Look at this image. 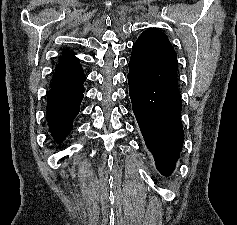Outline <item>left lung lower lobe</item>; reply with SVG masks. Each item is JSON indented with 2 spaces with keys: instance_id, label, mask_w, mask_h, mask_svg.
<instances>
[{
  "instance_id": "0a47b994",
  "label": "left lung lower lobe",
  "mask_w": 237,
  "mask_h": 225,
  "mask_svg": "<svg viewBox=\"0 0 237 225\" xmlns=\"http://www.w3.org/2000/svg\"><path fill=\"white\" fill-rule=\"evenodd\" d=\"M127 77L132 109L145 144L159 172L168 176L175 168L184 142L178 86L153 87L132 73Z\"/></svg>"
}]
</instances>
